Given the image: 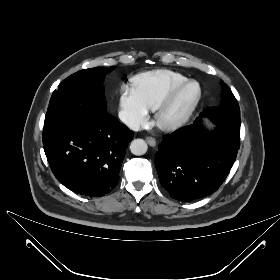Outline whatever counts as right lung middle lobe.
Instances as JSON below:
<instances>
[{
    "instance_id": "obj_1",
    "label": "right lung middle lobe",
    "mask_w": 280,
    "mask_h": 280,
    "mask_svg": "<svg viewBox=\"0 0 280 280\" xmlns=\"http://www.w3.org/2000/svg\"><path fill=\"white\" fill-rule=\"evenodd\" d=\"M114 68L84 69L67 77L51 96L45 122L68 113L105 115L107 104L103 81L105 75Z\"/></svg>"
}]
</instances>
